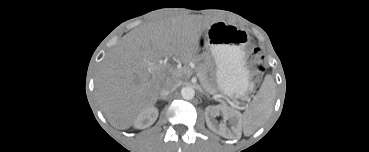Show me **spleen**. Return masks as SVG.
I'll return each mask as SVG.
<instances>
[{
    "label": "spleen",
    "mask_w": 369,
    "mask_h": 152,
    "mask_svg": "<svg viewBox=\"0 0 369 152\" xmlns=\"http://www.w3.org/2000/svg\"><path fill=\"white\" fill-rule=\"evenodd\" d=\"M274 99V82L270 77H266L250 108L241 115L240 122L245 134L255 132L270 116Z\"/></svg>",
    "instance_id": "3e777b00"
}]
</instances>
